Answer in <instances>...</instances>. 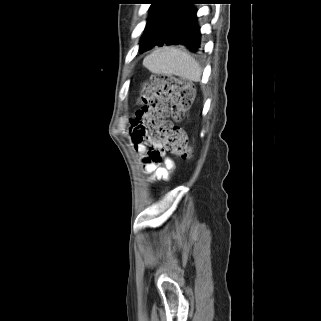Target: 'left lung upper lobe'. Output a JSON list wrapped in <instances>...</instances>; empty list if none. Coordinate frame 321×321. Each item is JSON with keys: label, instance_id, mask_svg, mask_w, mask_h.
Returning <instances> with one entry per match:
<instances>
[{"label": "left lung upper lobe", "instance_id": "obj_1", "mask_svg": "<svg viewBox=\"0 0 321 321\" xmlns=\"http://www.w3.org/2000/svg\"><path fill=\"white\" fill-rule=\"evenodd\" d=\"M151 3L145 33L141 39L139 51L162 39L167 23L180 0H148Z\"/></svg>", "mask_w": 321, "mask_h": 321}]
</instances>
